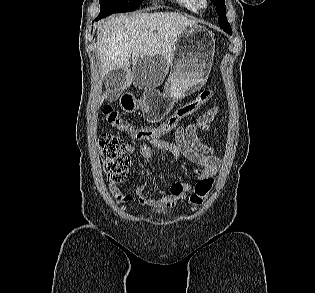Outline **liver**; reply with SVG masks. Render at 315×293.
<instances>
[{
	"label": "liver",
	"instance_id": "1",
	"mask_svg": "<svg viewBox=\"0 0 315 293\" xmlns=\"http://www.w3.org/2000/svg\"><path fill=\"white\" fill-rule=\"evenodd\" d=\"M197 23L176 12L120 14L105 20L97 28L96 40L102 76L112 70L124 71L125 82L116 91L119 95L133 82L131 56L134 62L146 56H162L169 64L181 32Z\"/></svg>",
	"mask_w": 315,
	"mask_h": 293
}]
</instances>
